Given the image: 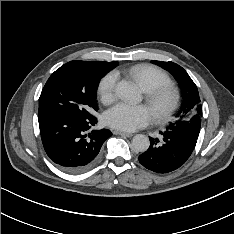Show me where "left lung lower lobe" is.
<instances>
[{"label": "left lung lower lobe", "mask_w": 234, "mask_h": 234, "mask_svg": "<svg viewBox=\"0 0 234 234\" xmlns=\"http://www.w3.org/2000/svg\"><path fill=\"white\" fill-rule=\"evenodd\" d=\"M162 142L150 139L149 149L139 156L140 163L156 173H168L182 166L193 152L197 139L179 129L160 132Z\"/></svg>", "instance_id": "left-lung-lower-lobe-1"}]
</instances>
